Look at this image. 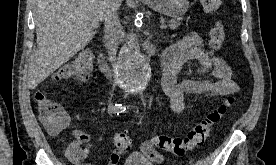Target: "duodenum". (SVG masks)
<instances>
[{"instance_id": "410a0bca", "label": "duodenum", "mask_w": 276, "mask_h": 165, "mask_svg": "<svg viewBox=\"0 0 276 165\" xmlns=\"http://www.w3.org/2000/svg\"><path fill=\"white\" fill-rule=\"evenodd\" d=\"M98 64L99 67L101 69V71L108 77V78H112L113 77V70L108 62V60L106 59L105 55L100 53L98 55ZM167 66V62L162 60L161 62V68L165 70Z\"/></svg>"}]
</instances>
